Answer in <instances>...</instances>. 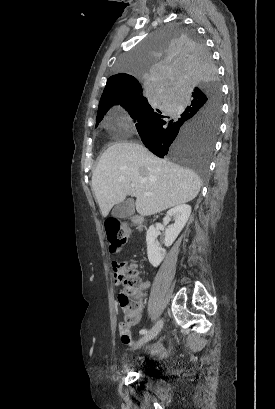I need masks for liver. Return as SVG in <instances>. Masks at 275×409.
Here are the masks:
<instances>
[{"label": "liver", "mask_w": 275, "mask_h": 409, "mask_svg": "<svg viewBox=\"0 0 275 409\" xmlns=\"http://www.w3.org/2000/svg\"><path fill=\"white\" fill-rule=\"evenodd\" d=\"M92 186L102 217L127 194L136 196L137 213L148 217L195 198L201 180L191 168L158 158L138 142H115L94 168Z\"/></svg>", "instance_id": "1"}]
</instances>
